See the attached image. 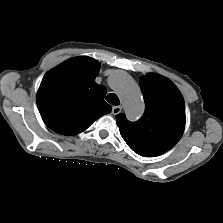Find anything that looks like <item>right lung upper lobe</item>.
<instances>
[{"instance_id":"cb5924a9","label":"right lung upper lobe","mask_w":223,"mask_h":223,"mask_svg":"<svg viewBox=\"0 0 223 223\" xmlns=\"http://www.w3.org/2000/svg\"><path fill=\"white\" fill-rule=\"evenodd\" d=\"M100 63L87 56L68 59L45 74L37 105L45 124L63 135H76L111 112L106 88L95 83Z\"/></svg>"}]
</instances>
